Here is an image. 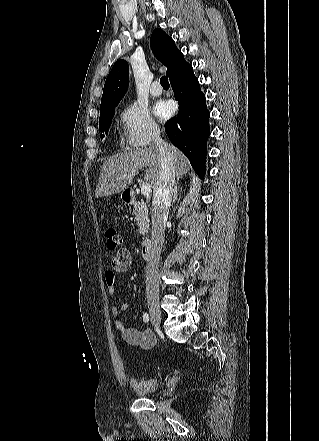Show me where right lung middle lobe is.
<instances>
[{"instance_id": "1", "label": "right lung middle lobe", "mask_w": 319, "mask_h": 441, "mask_svg": "<svg viewBox=\"0 0 319 441\" xmlns=\"http://www.w3.org/2000/svg\"><path fill=\"white\" fill-rule=\"evenodd\" d=\"M114 114H115V106L107 107L100 110L99 129L101 132H105V134L108 133ZM103 137L104 135H101V139Z\"/></svg>"}]
</instances>
